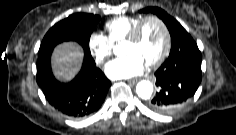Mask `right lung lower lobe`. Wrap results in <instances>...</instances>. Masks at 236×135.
Here are the masks:
<instances>
[{
	"label": "right lung lower lobe",
	"mask_w": 236,
	"mask_h": 135,
	"mask_svg": "<svg viewBox=\"0 0 236 135\" xmlns=\"http://www.w3.org/2000/svg\"><path fill=\"white\" fill-rule=\"evenodd\" d=\"M51 53L39 56L36 80L46 100L56 110L72 118H83L99 110L111 82L85 52L79 74L69 83L55 79L50 64Z\"/></svg>",
	"instance_id": "obj_1"
}]
</instances>
